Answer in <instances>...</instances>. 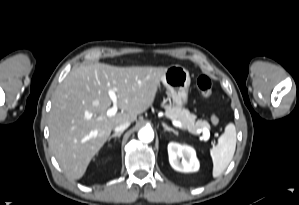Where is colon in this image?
Wrapping results in <instances>:
<instances>
[{"label":"colon","mask_w":299,"mask_h":205,"mask_svg":"<svg viewBox=\"0 0 299 205\" xmlns=\"http://www.w3.org/2000/svg\"><path fill=\"white\" fill-rule=\"evenodd\" d=\"M196 86L203 98H209L212 95V81L208 76H199L196 80ZM211 122L213 125H217L219 123L218 116L213 114L211 116Z\"/></svg>","instance_id":"1"}]
</instances>
